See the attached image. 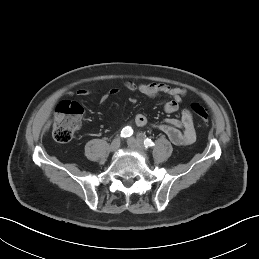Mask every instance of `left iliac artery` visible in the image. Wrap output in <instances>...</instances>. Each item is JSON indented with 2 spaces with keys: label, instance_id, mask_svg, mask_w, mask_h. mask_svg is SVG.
<instances>
[{
  "label": "left iliac artery",
  "instance_id": "1",
  "mask_svg": "<svg viewBox=\"0 0 259 259\" xmlns=\"http://www.w3.org/2000/svg\"><path fill=\"white\" fill-rule=\"evenodd\" d=\"M138 141H139L141 144H143V146H144L145 148H149V147L154 146L153 141H152L151 139H149V138H144V139L142 140V139L139 137V138H138Z\"/></svg>",
  "mask_w": 259,
  "mask_h": 259
}]
</instances>
